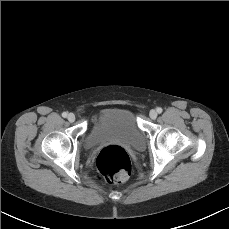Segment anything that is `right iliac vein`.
Segmentation results:
<instances>
[{
    "label": "right iliac vein",
    "mask_w": 229,
    "mask_h": 229,
    "mask_svg": "<svg viewBox=\"0 0 229 229\" xmlns=\"http://www.w3.org/2000/svg\"><path fill=\"white\" fill-rule=\"evenodd\" d=\"M69 122H74L75 121V115L73 113H70L67 117Z\"/></svg>",
    "instance_id": "63e3f726"
}]
</instances>
